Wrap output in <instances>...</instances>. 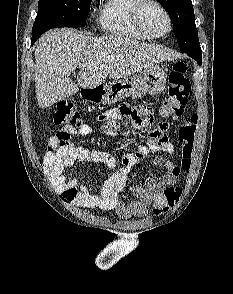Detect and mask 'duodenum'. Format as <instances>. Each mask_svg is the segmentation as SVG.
Returning a JSON list of instances; mask_svg holds the SVG:
<instances>
[{"label":"duodenum","mask_w":233,"mask_h":294,"mask_svg":"<svg viewBox=\"0 0 233 294\" xmlns=\"http://www.w3.org/2000/svg\"><path fill=\"white\" fill-rule=\"evenodd\" d=\"M96 91H98V88H96L94 90H90V91H88V93H93V92H96Z\"/></svg>","instance_id":"1"}]
</instances>
